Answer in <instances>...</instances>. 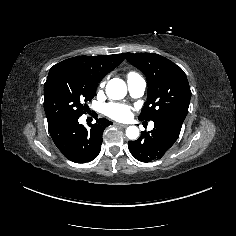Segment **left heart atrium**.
<instances>
[{
  "instance_id": "obj_1",
  "label": "left heart atrium",
  "mask_w": 236,
  "mask_h": 236,
  "mask_svg": "<svg viewBox=\"0 0 236 236\" xmlns=\"http://www.w3.org/2000/svg\"><path fill=\"white\" fill-rule=\"evenodd\" d=\"M131 111L132 109L130 106L116 102L107 103L103 106L102 109L104 115L115 120H122L127 118L128 116H130Z\"/></svg>"
}]
</instances>
